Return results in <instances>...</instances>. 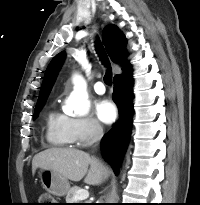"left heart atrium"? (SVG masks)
Listing matches in <instances>:
<instances>
[{
    "instance_id": "39dd6f15",
    "label": "left heart atrium",
    "mask_w": 200,
    "mask_h": 205,
    "mask_svg": "<svg viewBox=\"0 0 200 205\" xmlns=\"http://www.w3.org/2000/svg\"><path fill=\"white\" fill-rule=\"evenodd\" d=\"M96 114L102 122L110 124L115 121L118 112L111 100L104 99L97 104Z\"/></svg>"
}]
</instances>
